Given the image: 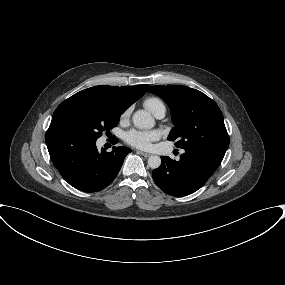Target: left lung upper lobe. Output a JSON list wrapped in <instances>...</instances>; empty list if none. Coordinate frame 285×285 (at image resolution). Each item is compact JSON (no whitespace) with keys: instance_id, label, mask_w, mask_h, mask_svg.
Instances as JSON below:
<instances>
[{"instance_id":"left-lung-upper-lobe-1","label":"left lung upper lobe","mask_w":285,"mask_h":285,"mask_svg":"<svg viewBox=\"0 0 285 285\" xmlns=\"http://www.w3.org/2000/svg\"><path fill=\"white\" fill-rule=\"evenodd\" d=\"M149 91L160 96L170 107L175 127L168 140L176 141V147L226 152L229 136L222 112L212 99L186 86H152Z\"/></svg>"}]
</instances>
